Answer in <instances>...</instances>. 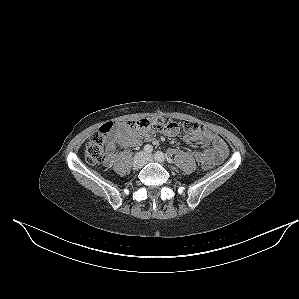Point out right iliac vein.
<instances>
[{
    "mask_svg": "<svg viewBox=\"0 0 299 299\" xmlns=\"http://www.w3.org/2000/svg\"><path fill=\"white\" fill-rule=\"evenodd\" d=\"M145 164V155L144 153H138L135 155L134 159H133V169L134 170H139L143 167V165Z\"/></svg>",
    "mask_w": 299,
    "mask_h": 299,
    "instance_id": "obj_1",
    "label": "right iliac vein"
}]
</instances>
